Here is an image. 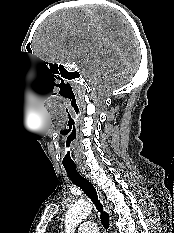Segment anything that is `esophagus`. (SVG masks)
<instances>
[{
	"label": "esophagus",
	"mask_w": 174,
	"mask_h": 233,
	"mask_svg": "<svg viewBox=\"0 0 174 233\" xmlns=\"http://www.w3.org/2000/svg\"><path fill=\"white\" fill-rule=\"evenodd\" d=\"M79 172H80L83 176H85L87 179H89V180L94 184V186H95L94 180H92L91 176L87 173V171H86L84 168H79ZM95 188H96V190L98 191L99 196H100L102 202L104 203L105 209L107 210V212L110 213L108 203H107L106 200L104 199V197H103L102 193L99 191V189H97V187H95ZM110 229L112 230V218H111V217H110Z\"/></svg>",
	"instance_id": "esophagus-1"
}]
</instances>
